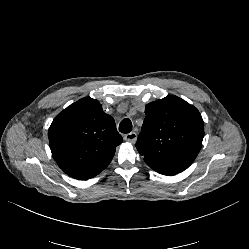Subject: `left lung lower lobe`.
Instances as JSON below:
<instances>
[{"label":"left lung lower lobe","mask_w":249,"mask_h":249,"mask_svg":"<svg viewBox=\"0 0 249 249\" xmlns=\"http://www.w3.org/2000/svg\"><path fill=\"white\" fill-rule=\"evenodd\" d=\"M155 171L164 174V175H175V172H171V171H167V170H163V169H154Z\"/></svg>","instance_id":"left-lung-lower-lobe-1"}]
</instances>
